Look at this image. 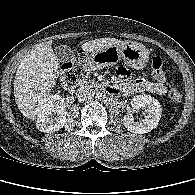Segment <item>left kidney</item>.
Masks as SVG:
<instances>
[{
  "label": "left kidney",
  "instance_id": "left-kidney-1",
  "mask_svg": "<svg viewBox=\"0 0 195 195\" xmlns=\"http://www.w3.org/2000/svg\"><path fill=\"white\" fill-rule=\"evenodd\" d=\"M130 104L132 112H139L142 109L146 113L144 118L139 119V121H134L132 113L126 114L123 117V124L128 131L144 134L156 128L162 114V108L157 99L142 94L132 98Z\"/></svg>",
  "mask_w": 195,
  "mask_h": 195
}]
</instances>
